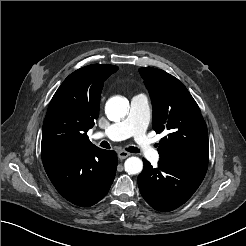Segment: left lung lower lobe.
Instances as JSON below:
<instances>
[{
  "mask_svg": "<svg viewBox=\"0 0 246 246\" xmlns=\"http://www.w3.org/2000/svg\"><path fill=\"white\" fill-rule=\"evenodd\" d=\"M143 162V171L137 179L141 195L161 212L184 204L197 190L208 168L206 163L175 158H160L157 168L146 159Z\"/></svg>",
  "mask_w": 246,
  "mask_h": 246,
  "instance_id": "1",
  "label": "left lung lower lobe"
}]
</instances>
